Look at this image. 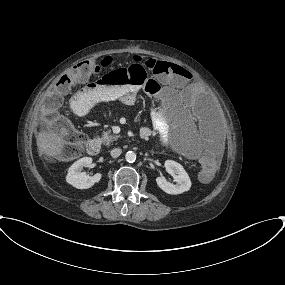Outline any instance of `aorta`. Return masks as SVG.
Segmentation results:
<instances>
[{"instance_id": "1", "label": "aorta", "mask_w": 285, "mask_h": 285, "mask_svg": "<svg viewBox=\"0 0 285 285\" xmlns=\"http://www.w3.org/2000/svg\"><path fill=\"white\" fill-rule=\"evenodd\" d=\"M125 159L127 162L129 163H133L135 162L136 160V154L133 152V151H128L126 154H125Z\"/></svg>"}]
</instances>
